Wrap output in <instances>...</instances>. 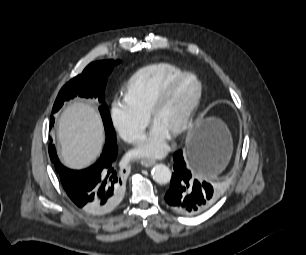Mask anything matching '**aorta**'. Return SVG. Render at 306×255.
<instances>
[{
    "label": "aorta",
    "instance_id": "1",
    "mask_svg": "<svg viewBox=\"0 0 306 255\" xmlns=\"http://www.w3.org/2000/svg\"><path fill=\"white\" fill-rule=\"evenodd\" d=\"M153 180L158 184H167L171 180V170L165 164H156L151 171Z\"/></svg>",
    "mask_w": 306,
    "mask_h": 255
}]
</instances>
